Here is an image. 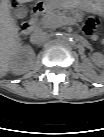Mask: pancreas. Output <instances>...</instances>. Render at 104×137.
<instances>
[{"label":"pancreas","mask_w":104,"mask_h":137,"mask_svg":"<svg viewBox=\"0 0 104 137\" xmlns=\"http://www.w3.org/2000/svg\"><path fill=\"white\" fill-rule=\"evenodd\" d=\"M66 19L65 12H49L42 17L40 24L44 28L55 29L65 25Z\"/></svg>","instance_id":"pancreas-1"}]
</instances>
